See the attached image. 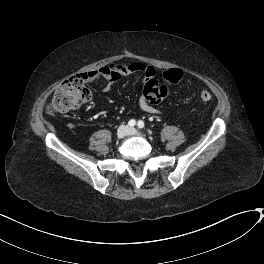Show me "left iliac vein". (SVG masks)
I'll use <instances>...</instances> for the list:
<instances>
[{
	"label": "left iliac vein",
	"instance_id": "obj_1",
	"mask_svg": "<svg viewBox=\"0 0 264 264\" xmlns=\"http://www.w3.org/2000/svg\"><path fill=\"white\" fill-rule=\"evenodd\" d=\"M129 134L130 135H141V132H139L138 130H136L135 128H131L129 130Z\"/></svg>",
	"mask_w": 264,
	"mask_h": 264
}]
</instances>
